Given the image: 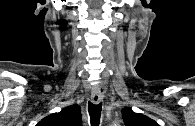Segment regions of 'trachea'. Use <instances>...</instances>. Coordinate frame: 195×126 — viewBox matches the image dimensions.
Instances as JSON below:
<instances>
[{
	"label": "trachea",
	"instance_id": "obj_1",
	"mask_svg": "<svg viewBox=\"0 0 195 126\" xmlns=\"http://www.w3.org/2000/svg\"><path fill=\"white\" fill-rule=\"evenodd\" d=\"M101 110H102V103L93 104V103L89 102L88 112H89V115H90V122H91L92 126H98L99 125Z\"/></svg>",
	"mask_w": 195,
	"mask_h": 126
}]
</instances>
